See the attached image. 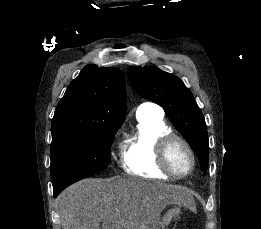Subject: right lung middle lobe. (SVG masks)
Masks as SVG:
<instances>
[{"mask_svg": "<svg viewBox=\"0 0 261 229\" xmlns=\"http://www.w3.org/2000/svg\"><path fill=\"white\" fill-rule=\"evenodd\" d=\"M120 127L97 126L82 135L51 145L54 197L67 186L108 167L110 147Z\"/></svg>", "mask_w": 261, "mask_h": 229, "instance_id": "right-lung-middle-lobe-1", "label": "right lung middle lobe"}]
</instances>
